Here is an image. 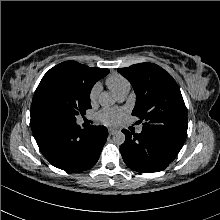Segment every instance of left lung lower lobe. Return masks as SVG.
<instances>
[{
	"mask_svg": "<svg viewBox=\"0 0 220 220\" xmlns=\"http://www.w3.org/2000/svg\"><path fill=\"white\" fill-rule=\"evenodd\" d=\"M125 142L120 150L125 164L132 170L152 173L164 170L182 146L163 136L143 131L132 134L124 129Z\"/></svg>",
	"mask_w": 220,
	"mask_h": 220,
	"instance_id": "left-lung-lower-lobe-1",
	"label": "left lung lower lobe"
}]
</instances>
